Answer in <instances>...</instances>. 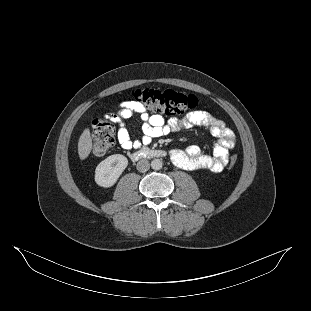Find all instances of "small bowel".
<instances>
[{"label":"small bowel","mask_w":311,"mask_h":311,"mask_svg":"<svg viewBox=\"0 0 311 311\" xmlns=\"http://www.w3.org/2000/svg\"><path fill=\"white\" fill-rule=\"evenodd\" d=\"M138 115L142 121V136L138 140L130 137L124 121ZM107 118L118 124L117 140L125 150L148 145L153 139L166 136L184 128L204 127L217 140L212 155L202 154L197 146L185 149H174L170 152L172 162L185 170L207 169L215 173L223 171L228 163V156L236 144L235 134L226 124L205 111H193L184 118L165 119L161 115L151 114L140 103L130 100L119 106L116 114H108Z\"/></svg>","instance_id":"c3829d8e"}]
</instances>
